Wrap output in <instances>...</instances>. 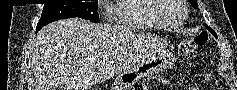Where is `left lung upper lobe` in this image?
Wrapping results in <instances>:
<instances>
[{
  "instance_id": "obj_1",
  "label": "left lung upper lobe",
  "mask_w": 237,
  "mask_h": 90,
  "mask_svg": "<svg viewBox=\"0 0 237 90\" xmlns=\"http://www.w3.org/2000/svg\"><path fill=\"white\" fill-rule=\"evenodd\" d=\"M189 2L193 7L198 8L197 0H189ZM206 27L211 32V34L214 35L217 38L216 33L211 28H209L208 26H206Z\"/></svg>"
}]
</instances>
